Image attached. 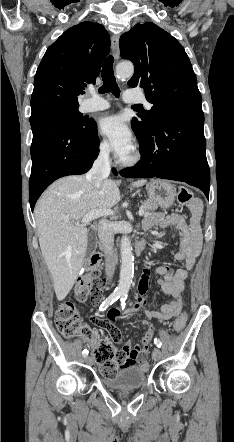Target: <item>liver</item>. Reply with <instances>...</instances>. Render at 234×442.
<instances>
[{
  "instance_id": "1",
  "label": "liver",
  "mask_w": 234,
  "mask_h": 442,
  "mask_svg": "<svg viewBox=\"0 0 234 442\" xmlns=\"http://www.w3.org/2000/svg\"><path fill=\"white\" fill-rule=\"evenodd\" d=\"M145 183L139 180L132 186ZM120 200L114 181L104 180L97 188L85 176L75 175L54 182L37 202L39 244L59 301L72 289L85 261L88 231L79 221L92 211L110 209Z\"/></svg>"
}]
</instances>
